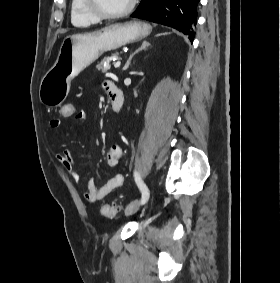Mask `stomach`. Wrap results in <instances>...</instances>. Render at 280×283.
Returning <instances> with one entry per match:
<instances>
[{
	"instance_id": "1",
	"label": "stomach",
	"mask_w": 280,
	"mask_h": 283,
	"mask_svg": "<svg viewBox=\"0 0 280 283\" xmlns=\"http://www.w3.org/2000/svg\"><path fill=\"white\" fill-rule=\"evenodd\" d=\"M152 27L142 21L116 23L100 30L68 35L63 39L57 60L44 75L39 98L47 107H57L67 97L71 80L96 61L103 53L113 51L151 33Z\"/></svg>"
}]
</instances>
